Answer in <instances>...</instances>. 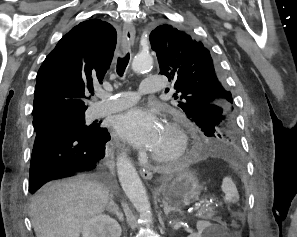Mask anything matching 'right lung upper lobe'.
I'll use <instances>...</instances> for the list:
<instances>
[{"label": "right lung upper lobe", "instance_id": "cb5924a9", "mask_svg": "<svg viewBox=\"0 0 297 237\" xmlns=\"http://www.w3.org/2000/svg\"><path fill=\"white\" fill-rule=\"evenodd\" d=\"M117 33L98 19L81 22L46 57L37 73L33 118L87 109L84 99L93 92L112 61Z\"/></svg>", "mask_w": 297, "mask_h": 237}]
</instances>
